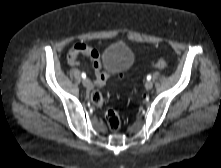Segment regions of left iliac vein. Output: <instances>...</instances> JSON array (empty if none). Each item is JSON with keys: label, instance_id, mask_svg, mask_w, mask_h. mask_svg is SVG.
Listing matches in <instances>:
<instances>
[{"label": "left iliac vein", "instance_id": "4c4485c4", "mask_svg": "<svg viewBox=\"0 0 221 168\" xmlns=\"http://www.w3.org/2000/svg\"><path fill=\"white\" fill-rule=\"evenodd\" d=\"M153 88V82L152 81H147L145 83V89L146 90H151Z\"/></svg>", "mask_w": 221, "mask_h": 168}]
</instances>
